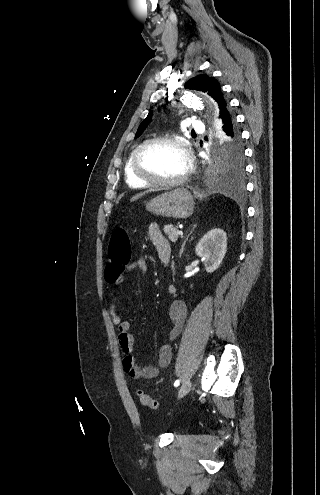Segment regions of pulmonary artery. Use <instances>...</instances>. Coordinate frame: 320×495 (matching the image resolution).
<instances>
[{
    "mask_svg": "<svg viewBox=\"0 0 320 495\" xmlns=\"http://www.w3.org/2000/svg\"><path fill=\"white\" fill-rule=\"evenodd\" d=\"M191 127L195 130V131H201L202 128H203V124L200 120H197L195 118H193L191 120Z\"/></svg>",
    "mask_w": 320,
    "mask_h": 495,
    "instance_id": "e3ab8cb5",
    "label": "pulmonary artery"
}]
</instances>
